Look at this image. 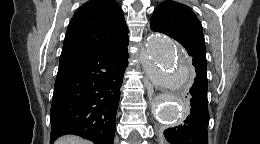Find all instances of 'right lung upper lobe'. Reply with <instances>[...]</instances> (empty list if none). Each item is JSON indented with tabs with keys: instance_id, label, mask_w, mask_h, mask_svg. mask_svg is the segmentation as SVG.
<instances>
[{
	"instance_id": "1",
	"label": "right lung upper lobe",
	"mask_w": 260,
	"mask_h": 144,
	"mask_svg": "<svg viewBox=\"0 0 260 144\" xmlns=\"http://www.w3.org/2000/svg\"><path fill=\"white\" fill-rule=\"evenodd\" d=\"M128 43V28L114 0H90L74 14L68 26L60 61Z\"/></svg>"
}]
</instances>
